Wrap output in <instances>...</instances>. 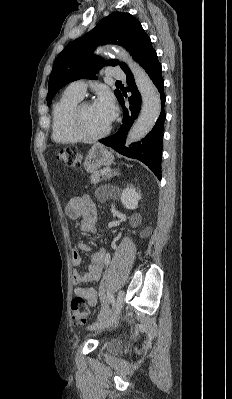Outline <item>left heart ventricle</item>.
<instances>
[{
	"instance_id": "left-heart-ventricle-1",
	"label": "left heart ventricle",
	"mask_w": 232,
	"mask_h": 399,
	"mask_svg": "<svg viewBox=\"0 0 232 399\" xmlns=\"http://www.w3.org/2000/svg\"><path fill=\"white\" fill-rule=\"evenodd\" d=\"M80 126L84 133L95 136L105 132L110 125L92 105L83 110L80 117Z\"/></svg>"
}]
</instances>
